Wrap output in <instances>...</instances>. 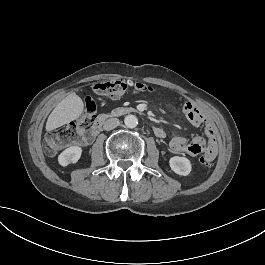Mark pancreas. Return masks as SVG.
<instances>
[{"label": "pancreas", "instance_id": "obj_1", "mask_svg": "<svg viewBox=\"0 0 265 265\" xmlns=\"http://www.w3.org/2000/svg\"><path fill=\"white\" fill-rule=\"evenodd\" d=\"M122 109L125 112H133V111H135V109H133V108H116V109L112 110L111 113L108 114L107 116H109V117H111V116H119Z\"/></svg>", "mask_w": 265, "mask_h": 265}]
</instances>
